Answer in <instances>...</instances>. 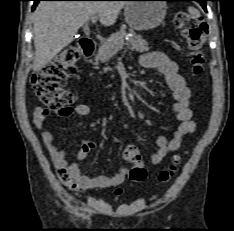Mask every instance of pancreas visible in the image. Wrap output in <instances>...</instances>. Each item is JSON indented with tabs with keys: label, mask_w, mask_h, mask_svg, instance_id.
<instances>
[{
	"label": "pancreas",
	"mask_w": 234,
	"mask_h": 231,
	"mask_svg": "<svg viewBox=\"0 0 234 231\" xmlns=\"http://www.w3.org/2000/svg\"><path fill=\"white\" fill-rule=\"evenodd\" d=\"M131 36L128 40H125L126 37V28L122 27L118 32L112 34L109 38L106 39L105 43L99 48L96 55V62H107L114 55L118 53L119 50L123 48L124 45H127L130 49L145 52L148 51V43L142 39V37L132 30L129 31Z\"/></svg>",
	"instance_id": "obj_1"
}]
</instances>
